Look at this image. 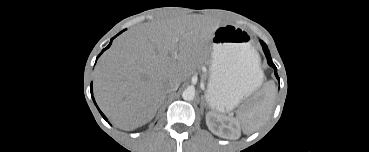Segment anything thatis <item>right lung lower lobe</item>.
I'll return each instance as SVG.
<instances>
[{
  "instance_id": "obj_1",
  "label": "right lung lower lobe",
  "mask_w": 369,
  "mask_h": 152,
  "mask_svg": "<svg viewBox=\"0 0 369 152\" xmlns=\"http://www.w3.org/2000/svg\"><path fill=\"white\" fill-rule=\"evenodd\" d=\"M111 43H112V40H111ZM111 43L109 44V46L111 45ZM109 46H108V47H109ZM108 47H107V48H108ZM107 48H105V49H107ZM105 49H104V50H105ZM104 50H103V51H104ZM103 51H102V52H103ZM91 93H92V86H91ZM93 100H94V98H93ZM101 115L103 116V118H104L105 120H107V118H106L102 113H101Z\"/></svg>"
}]
</instances>
